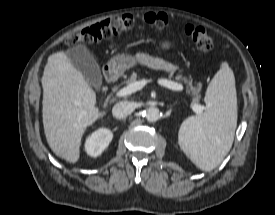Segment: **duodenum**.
<instances>
[{"label":"duodenum","instance_id":"1","mask_svg":"<svg viewBox=\"0 0 275 215\" xmlns=\"http://www.w3.org/2000/svg\"><path fill=\"white\" fill-rule=\"evenodd\" d=\"M104 77H105V79H106V81L108 83L113 84V83H115L117 81L118 74H117V72L114 69L107 68L104 71Z\"/></svg>","mask_w":275,"mask_h":215}]
</instances>
